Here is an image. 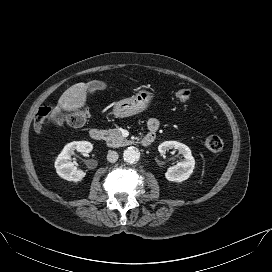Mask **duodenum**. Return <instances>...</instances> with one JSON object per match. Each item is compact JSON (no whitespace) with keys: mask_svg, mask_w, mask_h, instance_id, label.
<instances>
[{"mask_svg":"<svg viewBox=\"0 0 272 272\" xmlns=\"http://www.w3.org/2000/svg\"><path fill=\"white\" fill-rule=\"evenodd\" d=\"M90 137L95 141H101L104 138V132L100 128H92L89 132ZM155 139V134H146L142 139L143 146H149Z\"/></svg>","mask_w":272,"mask_h":272,"instance_id":"410a0bca","label":"duodenum"}]
</instances>
